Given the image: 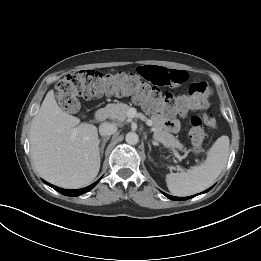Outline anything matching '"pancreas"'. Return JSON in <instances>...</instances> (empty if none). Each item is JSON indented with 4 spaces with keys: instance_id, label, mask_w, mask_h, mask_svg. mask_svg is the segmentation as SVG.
Listing matches in <instances>:
<instances>
[{
    "instance_id": "cf45deb5",
    "label": "pancreas",
    "mask_w": 261,
    "mask_h": 261,
    "mask_svg": "<svg viewBox=\"0 0 261 261\" xmlns=\"http://www.w3.org/2000/svg\"><path fill=\"white\" fill-rule=\"evenodd\" d=\"M131 107L125 103H117V104H108L106 106V110L109 113V117L119 123H122L128 117L127 112ZM154 122V140L161 142L167 147L178 148L180 150L183 149V145L176 139L172 134L163 130L162 126L152 118Z\"/></svg>"
}]
</instances>
